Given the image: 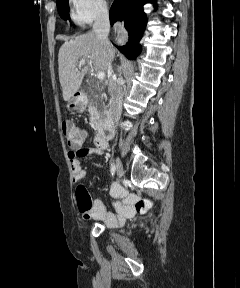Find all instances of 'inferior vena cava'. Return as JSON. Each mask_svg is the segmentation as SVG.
Segmentation results:
<instances>
[{
  "instance_id": "1",
  "label": "inferior vena cava",
  "mask_w": 240,
  "mask_h": 288,
  "mask_svg": "<svg viewBox=\"0 0 240 288\" xmlns=\"http://www.w3.org/2000/svg\"><path fill=\"white\" fill-rule=\"evenodd\" d=\"M110 30V22H109V12L106 7H102L99 9L94 24H93V33L95 34L96 38L100 41L101 45L103 46L104 50L108 53V60H107V71L111 74V80L113 81L112 76V66H111V57L109 55V50L112 48L111 43L108 40V34ZM114 94L112 95L110 101V116L106 121V126L112 129L114 125V120L119 119L121 112H122V98L123 93L120 87H115L113 84Z\"/></svg>"
}]
</instances>
